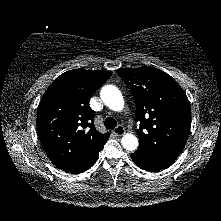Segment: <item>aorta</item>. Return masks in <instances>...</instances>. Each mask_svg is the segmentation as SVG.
<instances>
[{
  "label": "aorta",
  "mask_w": 221,
  "mask_h": 221,
  "mask_svg": "<svg viewBox=\"0 0 221 221\" xmlns=\"http://www.w3.org/2000/svg\"><path fill=\"white\" fill-rule=\"evenodd\" d=\"M100 97L104 104L113 111H121L124 108V99L120 90L113 85L102 87ZM124 149L134 151L138 147V139L133 134H125L121 139Z\"/></svg>",
  "instance_id": "aorta-1"
}]
</instances>
